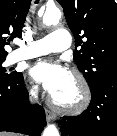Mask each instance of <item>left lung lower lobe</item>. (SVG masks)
Listing matches in <instances>:
<instances>
[{
  "mask_svg": "<svg viewBox=\"0 0 117 136\" xmlns=\"http://www.w3.org/2000/svg\"><path fill=\"white\" fill-rule=\"evenodd\" d=\"M91 94L81 115L62 118V136H117V76L102 81Z\"/></svg>",
  "mask_w": 117,
  "mask_h": 136,
  "instance_id": "left-lung-lower-lobe-1",
  "label": "left lung lower lobe"
}]
</instances>
